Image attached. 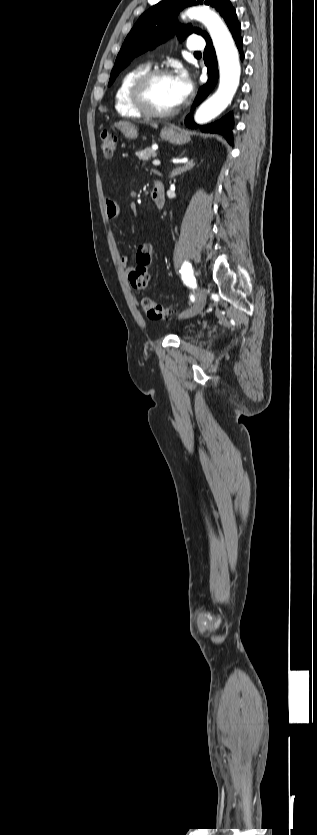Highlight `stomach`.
<instances>
[{
	"label": "stomach",
	"mask_w": 317,
	"mask_h": 835,
	"mask_svg": "<svg viewBox=\"0 0 317 835\" xmlns=\"http://www.w3.org/2000/svg\"><path fill=\"white\" fill-rule=\"evenodd\" d=\"M115 128L120 130L126 138L134 139L138 136L137 128L126 121L115 122ZM160 137L172 144L183 145L189 142L190 134L186 131L178 130L173 126H165L161 132Z\"/></svg>",
	"instance_id": "obj_1"
}]
</instances>
